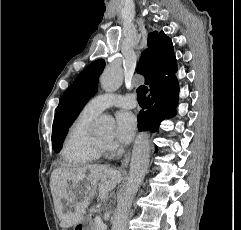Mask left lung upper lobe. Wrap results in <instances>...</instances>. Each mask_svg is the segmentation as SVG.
<instances>
[{
    "mask_svg": "<svg viewBox=\"0 0 241 230\" xmlns=\"http://www.w3.org/2000/svg\"><path fill=\"white\" fill-rule=\"evenodd\" d=\"M104 67L105 61L102 59L88 65L62 96L52 127V146L55 152L61 150L69 127L87 103L88 97L96 93L99 75Z\"/></svg>",
    "mask_w": 241,
    "mask_h": 230,
    "instance_id": "1",
    "label": "left lung upper lobe"
}]
</instances>
